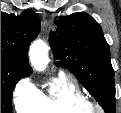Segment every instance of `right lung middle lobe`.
Returning a JSON list of instances; mask_svg holds the SVG:
<instances>
[{"mask_svg":"<svg viewBox=\"0 0 121 113\" xmlns=\"http://www.w3.org/2000/svg\"><path fill=\"white\" fill-rule=\"evenodd\" d=\"M29 74L15 64L1 59V113H11L12 91L17 81Z\"/></svg>","mask_w":121,"mask_h":113,"instance_id":"dd1d6c3e","label":"right lung middle lobe"}]
</instances>
